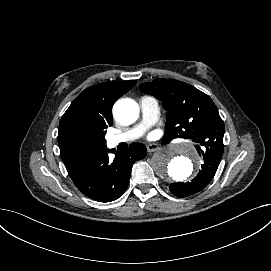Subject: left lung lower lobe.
Wrapping results in <instances>:
<instances>
[{"label": "left lung lower lobe", "instance_id": "1", "mask_svg": "<svg viewBox=\"0 0 271 271\" xmlns=\"http://www.w3.org/2000/svg\"><path fill=\"white\" fill-rule=\"evenodd\" d=\"M197 147L199 155L203 156L204 164L191 182L170 184L169 190L177 197H187L201 191L210 183L217 171L223 151L210 147L202 150L199 145Z\"/></svg>", "mask_w": 271, "mask_h": 271}]
</instances>
